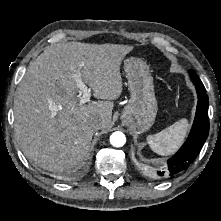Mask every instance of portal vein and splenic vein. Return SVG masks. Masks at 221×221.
I'll return each instance as SVG.
<instances>
[{
	"mask_svg": "<svg viewBox=\"0 0 221 221\" xmlns=\"http://www.w3.org/2000/svg\"><path fill=\"white\" fill-rule=\"evenodd\" d=\"M74 77H75L78 89L82 92V96L80 97V104H85L90 99L91 89H89L78 76L75 75Z\"/></svg>",
	"mask_w": 221,
	"mask_h": 221,
	"instance_id": "portal-vein-and-splenic-vein-1",
	"label": "portal vein and splenic vein"
}]
</instances>
